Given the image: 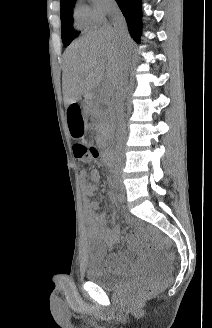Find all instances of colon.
I'll return each instance as SVG.
<instances>
[{"instance_id":"1","label":"colon","mask_w":212,"mask_h":328,"mask_svg":"<svg viewBox=\"0 0 212 328\" xmlns=\"http://www.w3.org/2000/svg\"><path fill=\"white\" fill-rule=\"evenodd\" d=\"M73 150L75 157L82 162V170H89V163L98 156L97 149L94 146L86 143L83 139L75 141L73 145ZM155 239L163 245L167 244V242L158 235H155ZM170 256L172 257V255ZM155 288L156 285L154 283H148L138 292V296H146L152 293Z\"/></svg>"}]
</instances>
